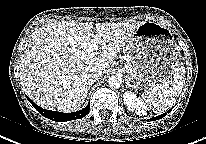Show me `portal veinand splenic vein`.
I'll use <instances>...</instances> for the list:
<instances>
[{"instance_id":"obj_1","label":"portal vein and splenic vein","mask_w":206,"mask_h":144,"mask_svg":"<svg viewBox=\"0 0 206 144\" xmlns=\"http://www.w3.org/2000/svg\"><path fill=\"white\" fill-rule=\"evenodd\" d=\"M97 50H98V46L96 44H89L82 51H80L78 55L81 59H86L87 57L91 58L94 56ZM126 69H127V65H126Z\"/></svg>"}]
</instances>
